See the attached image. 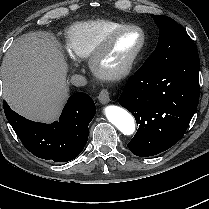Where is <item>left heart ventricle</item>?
<instances>
[{
	"label": "left heart ventricle",
	"mask_w": 209,
	"mask_h": 209,
	"mask_svg": "<svg viewBox=\"0 0 209 209\" xmlns=\"http://www.w3.org/2000/svg\"><path fill=\"white\" fill-rule=\"evenodd\" d=\"M141 34L129 31L120 34L114 41L105 61L104 66L109 69L120 67L139 47Z\"/></svg>",
	"instance_id": "left-heart-ventricle-1"
}]
</instances>
